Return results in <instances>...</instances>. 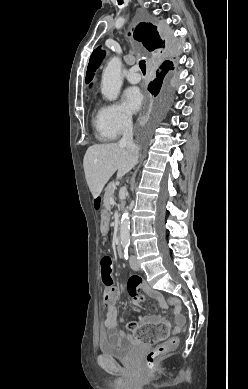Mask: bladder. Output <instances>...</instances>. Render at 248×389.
I'll return each instance as SVG.
<instances>
[{
  "label": "bladder",
  "mask_w": 248,
  "mask_h": 389,
  "mask_svg": "<svg viewBox=\"0 0 248 389\" xmlns=\"http://www.w3.org/2000/svg\"><path fill=\"white\" fill-rule=\"evenodd\" d=\"M98 347L103 355L118 359H131L138 349L135 342L119 333L103 336Z\"/></svg>",
  "instance_id": "obj_1"
}]
</instances>
